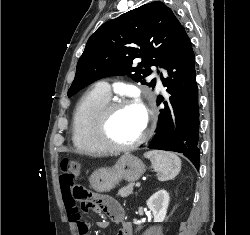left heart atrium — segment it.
I'll list each match as a JSON object with an SVG mask.
<instances>
[{
    "label": "left heart atrium",
    "instance_id": "39dd6f15",
    "mask_svg": "<svg viewBox=\"0 0 250 235\" xmlns=\"http://www.w3.org/2000/svg\"><path fill=\"white\" fill-rule=\"evenodd\" d=\"M134 108L142 115V117H143V124L145 126L147 113H146V110H145L144 106L140 102H138V103H136L134 105Z\"/></svg>",
    "mask_w": 250,
    "mask_h": 235
}]
</instances>
